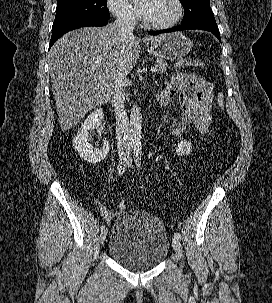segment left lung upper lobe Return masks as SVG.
I'll return each instance as SVG.
<instances>
[{
    "mask_svg": "<svg viewBox=\"0 0 272 303\" xmlns=\"http://www.w3.org/2000/svg\"><path fill=\"white\" fill-rule=\"evenodd\" d=\"M185 14L182 25L215 21L210 0H181Z\"/></svg>",
    "mask_w": 272,
    "mask_h": 303,
    "instance_id": "1",
    "label": "left lung upper lobe"
}]
</instances>
